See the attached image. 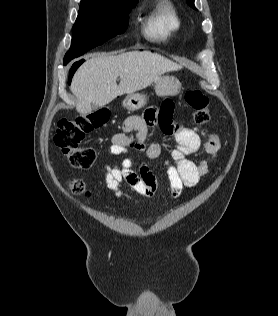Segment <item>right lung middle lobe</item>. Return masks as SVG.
I'll use <instances>...</instances> for the list:
<instances>
[{
	"instance_id": "1",
	"label": "right lung middle lobe",
	"mask_w": 278,
	"mask_h": 316,
	"mask_svg": "<svg viewBox=\"0 0 278 316\" xmlns=\"http://www.w3.org/2000/svg\"><path fill=\"white\" fill-rule=\"evenodd\" d=\"M136 1L114 4L80 3L73 26L72 43L64 57V65L108 39L123 33L129 20V10Z\"/></svg>"
}]
</instances>
